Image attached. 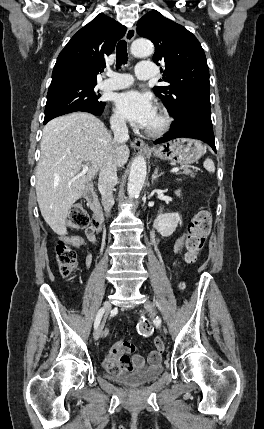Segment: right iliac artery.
<instances>
[{"mask_svg":"<svg viewBox=\"0 0 264 429\" xmlns=\"http://www.w3.org/2000/svg\"><path fill=\"white\" fill-rule=\"evenodd\" d=\"M104 308H101L99 311H98V313H97V315H96V319H95V322H94V328H97L98 326H99V324H100V321H101V318H102V316H103V313H104Z\"/></svg>","mask_w":264,"mask_h":429,"instance_id":"right-iliac-artery-1","label":"right iliac artery"}]
</instances>
